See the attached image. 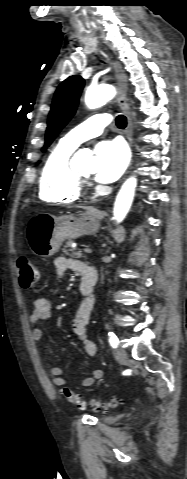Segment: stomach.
Segmentation results:
<instances>
[{
	"label": "stomach",
	"mask_w": 187,
	"mask_h": 479,
	"mask_svg": "<svg viewBox=\"0 0 187 479\" xmlns=\"http://www.w3.org/2000/svg\"><path fill=\"white\" fill-rule=\"evenodd\" d=\"M99 226L100 213L91 208L78 217L39 213L29 221L26 235L29 246L36 255L50 257L59 250L65 239L93 234Z\"/></svg>",
	"instance_id": "1"
}]
</instances>
